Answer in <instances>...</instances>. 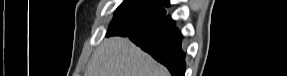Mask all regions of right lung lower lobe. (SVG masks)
<instances>
[{
    "label": "right lung lower lobe",
    "instance_id": "obj_1",
    "mask_svg": "<svg viewBox=\"0 0 287 76\" xmlns=\"http://www.w3.org/2000/svg\"><path fill=\"white\" fill-rule=\"evenodd\" d=\"M131 41L165 65L172 76H184L185 53L182 36L170 17L162 18L141 33L127 35Z\"/></svg>",
    "mask_w": 287,
    "mask_h": 76
}]
</instances>
